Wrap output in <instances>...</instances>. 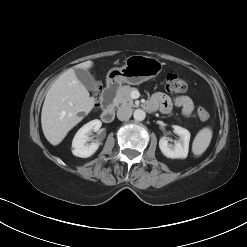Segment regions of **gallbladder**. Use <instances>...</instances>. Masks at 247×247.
<instances>
[{
    "label": "gallbladder",
    "mask_w": 247,
    "mask_h": 247,
    "mask_svg": "<svg viewBox=\"0 0 247 247\" xmlns=\"http://www.w3.org/2000/svg\"><path fill=\"white\" fill-rule=\"evenodd\" d=\"M75 74L80 82L90 91L97 90L98 84L86 69H75Z\"/></svg>",
    "instance_id": "obj_1"
}]
</instances>
